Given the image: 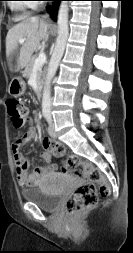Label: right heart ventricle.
<instances>
[{"label": "right heart ventricle", "instance_id": "obj_1", "mask_svg": "<svg viewBox=\"0 0 133 253\" xmlns=\"http://www.w3.org/2000/svg\"><path fill=\"white\" fill-rule=\"evenodd\" d=\"M29 5L20 0H15L10 3L11 10L15 13V17L18 20L24 19L28 15Z\"/></svg>", "mask_w": 133, "mask_h": 253}]
</instances>
